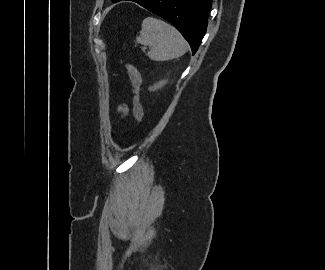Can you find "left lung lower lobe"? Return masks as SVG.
<instances>
[{"label": "left lung lower lobe", "instance_id": "left-lung-lower-lobe-1", "mask_svg": "<svg viewBox=\"0 0 325 270\" xmlns=\"http://www.w3.org/2000/svg\"><path fill=\"white\" fill-rule=\"evenodd\" d=\"M121 1V0H119ZM173 24L194 54L206 32L212 0H130Z\"/></svg>", "mask_w": 325, "mask_h": 270}]
</instances>
